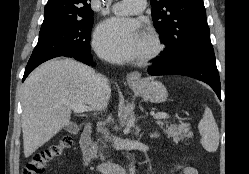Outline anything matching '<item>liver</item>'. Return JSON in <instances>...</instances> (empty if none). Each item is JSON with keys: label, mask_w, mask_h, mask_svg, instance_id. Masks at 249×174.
Here are the masks:
<instances>
[{"label": "liver", "mask_w": 249, "mask_h": 174, "mask_svg": "<svg viewBox=\"0 0 249 174\" xmlns=\"http://www.w3.org/2000/svg\"><path fill=\"white\" fill-rule=\"evenodd\" d=\"M97 74L74 59H53L36 68L25 80L22 98L24 156L28 158L70 124V104L102 110L111 89L103 95Z\"/></svg>", "instance_id": "liver-1"}]
</instances>
